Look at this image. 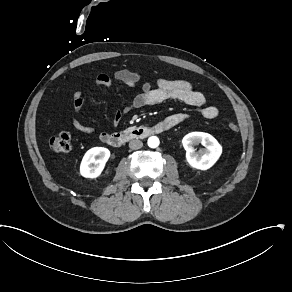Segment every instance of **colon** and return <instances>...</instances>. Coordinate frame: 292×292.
<instances>
[{"instance_id": "colon-1", "label": "colon", "mask_w": 292, "mask_h": 292, "mask_svg": "<svg viewBox=\"0 0 292 292\" xmlns=\"http://www.w3.org/2000/svg\"><path fill=\"white\" fill-rule=\"evenodd\" d=\"M228 129L236 133L238 131V127L233 122L227 123ZM50 149L54 153H66L71 150L72 147V135L70 132L61 131L54 133L50 138Z\"/></svg>"}]
</instances>
